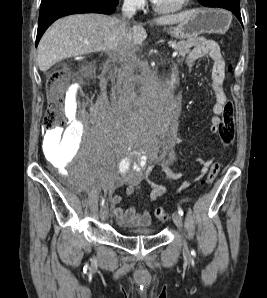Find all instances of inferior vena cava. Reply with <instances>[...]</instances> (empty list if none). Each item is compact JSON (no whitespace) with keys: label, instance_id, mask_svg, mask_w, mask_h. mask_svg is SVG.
I'll use <instances>...</instances> for the list:
<instances>
[{"label":"inferior vena cava","instance_id":"obj_1","mask_svg":"<svg viewBox=\"0 0 267 298\" xmlns=\"http://www.w3.org/2000/svg\"><path fill=\"white\" fill-rule=\"evenodd\" d=\"M138 0H124L122 6L123 22L118 29V37L123 36L126 32L125 19H130L135 15ZM113 56L120 64L119 76L123 80L120 88L118 105L122 111L128 112L131 109V100L134 95L132 87L133 71L138 60L137 49L130 37L126 44L112 50Z\"/></svg>","mask_w":267,"mask_h":298}]
</instances>
